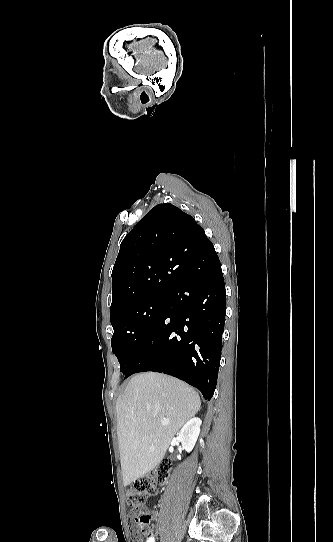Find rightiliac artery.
I'll return each mask as SVG.
<instances>
[{
	"label": "right iliac artery",
	"mask_w": 333,
	"mask_h": 542,
	"mask_svg": "<svg viewBox=\"0 0 333 542\" xmlns=\"http://www.w3.org/2000/svg\"><path fill=\"white\" fill-rule=\"evenodd\" d=\"M147 542H154V538L153 537H150Z\"/></svg>",
	"instance_id": "1"
}]
</instances>
